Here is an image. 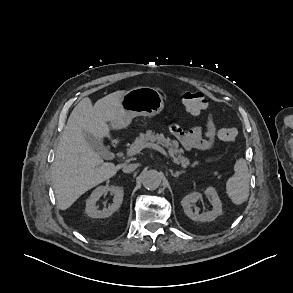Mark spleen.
Returning <instances> with one entry per match:
<instances>
[{
    "instance_id": "obj_1",
    "label": "spleen",
    "mask_w": 293,
    "mask_h": 293,
    "mask_svg": "<svg viewBox=\"0 0 293 293\" xmlns=\"http://www.w3.org/2000/svg\"><path fill=\"white\" fill-rule=\"evenodd\" d=\"M234 171V175L226 183V192L234 204L240 205L249 197L250 175L245 159L236 161Z\"/></svg>"
}]
</instances>
